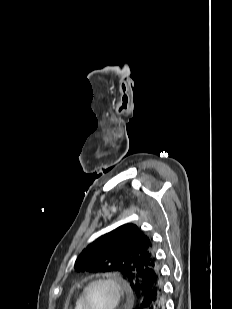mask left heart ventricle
<instances>
[{"label":"left heart ventricle","instance_id":"b2bd125f","mask_svg":"<svg viewBox=\"0 0 232 309\" xmlns=\"http://www.w3.org/2000/svg\"><path fill=\"white\" fill-rule=\"evenodd\" d=\"M114 299V292L108 285H93L87 293V309H110Z\"/></svg>","mask_w":232,"mask_h":309}]
</instances>
